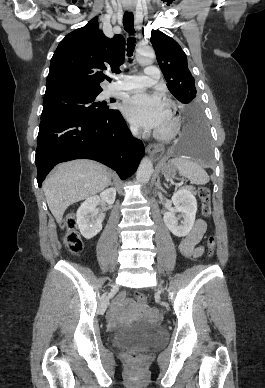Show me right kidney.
<instances>
[{
	"instance_id": "1",
	"label": "right kidney",
	"mask_w": 265,
	"mask_h": 388,
	"mask_svg": "<svg viewBox=\"0 0 265 388\" xmlns=\"http://www.w3.org/2000/svg\"><path fill=\"white\" fill-rule=\"evenodd\" d=\"M116 198L115 188H108L101 192L100 196H91L87 198L80 208L77 210V224L78 228L86 240H91L96 234H99L102 230V222L105 218V214H99V210H96V206H99V202L104 200L106 204H114Z\"/></svg>"
}]
</instances>
